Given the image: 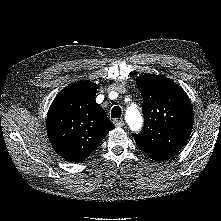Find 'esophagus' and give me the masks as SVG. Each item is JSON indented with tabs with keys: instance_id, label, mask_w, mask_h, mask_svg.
Masks as SVG:
<instances>
[{
	"instance_id": "esophagus-1",
	"label": "esophagus",
	"mask_w": 221,
	"mask_h": 221,
	"mask_svg": "<svg viewBox=\"0 0 221 221\" xmlns=\"http://www.w3.org/2000/svg\"><path fill=\"white\" fill-rule=\"evenodd\" d=\"M114 124L117 128H120V127H123L125 123L122 119H115Z\"/></svg>"
}]
</instances>
